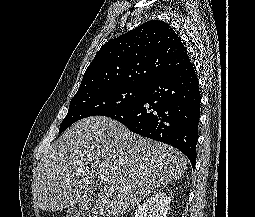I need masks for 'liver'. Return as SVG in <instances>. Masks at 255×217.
<instances>
[{
    "label": "liver",
    "instance_id": "obj_1",
    "mask_svg": "<svg viewBox=\"0 0 255 217\" xmlns=\"http://www.w3.org/2000/svg\"><path fill=\"white\" fill-rule=\"evenodd\" d=\"M186 170V157L172 146L95 116L76 122L52 144L37 166L32 194L38 208L51 212L80 203L98 189L96 210L116 217Z\"/></svg>",
    "mask_w": 255,
    "mask_h": 217
}]
</instances>
